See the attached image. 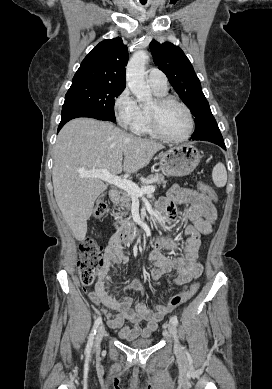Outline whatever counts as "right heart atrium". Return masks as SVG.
<instances>
[{
	"mask_svg": "<svg viewBox=\"0 0 272 389\" xmlns=\"http://www.w3.org/2000/svg\"><path fill=\"white\" fill-rule=\"evenodd\" d=\"M114 112L118 123L124 128H132L141 115V108L128 88L116 97Z\"/></svg>",
	"mask_w": 272,
	"mask_h": 389,
	"instance_id": "right-heart-atrium-1",
	"label": "right heart atrium"
}]
</instances>
